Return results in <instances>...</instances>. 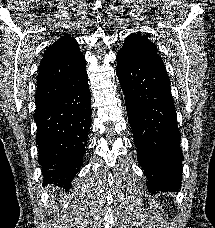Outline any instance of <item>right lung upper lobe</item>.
Instances as JSON below:
<instances>
[{
	"label": "right lung upper lobe",
	"mask_w": 215,
	"mask_h": 228,
	"mask_svg": "<svg viewBox=\"0 0 215 228\" xmlns=\"http://www.w3.org/2000/svg\"><path fill=\"white\" fill-rule=\"evenodd\" d=\"M85 58L77 41L64 35L44 52L39 66L36 108L62 95L70 82L81 80L85 75Z\"/></svg>",
	"instance_id": "right-lung-upper-lobe-1"
}]
</instances>
